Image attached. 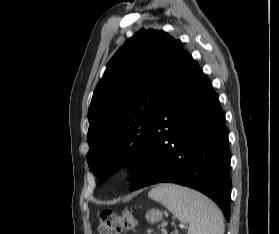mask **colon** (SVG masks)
Wrapping results in <instances>:
<instances>
[{"label": "colon", "instance_id": "5ec220e1", "mask_svg": "<svg viewBox=\"0 0 279 234\" xmlns=\"http://www.w3.org/2000/svg\"><path fill=\"white\" fill-rule=\"evenodd\" d=\"M135 220L129 211L115 214L105 210L100 216V234H122L123 231L133 228Z\"/></svg>", "mask_w": 279, "mask_h": 234}]
</instances>
